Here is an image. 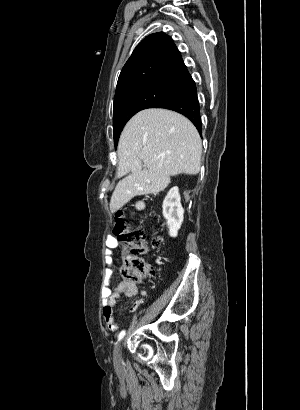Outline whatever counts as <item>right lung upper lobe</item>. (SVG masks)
Segmentation results:
<instances>
[{"instance_id":"obj_1","label":"right lung upper lobe","mask_w":300,"mask_h":410,"mask_svg":"<svg viewBox=\"0 0 300 410\" xmlns=\"http://www.w3.org/2000/svg\"><path fill=\"white\" fill-rule=\"evenodd\" d=\"M191 80L173 40L162 32L154 33L138 44L124 65L115 96L134 85Z\"/></svg>"}]
</instances>
